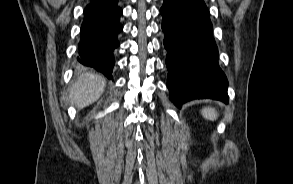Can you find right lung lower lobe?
<instances>
[{"label":"right lung lower lobe","instance_id":"obj_1","mask_svg":"<svg viewBox=\"0 0 293 184\" xmlns=\"http://www.w3.org/2000/svg\"><path fill=\"white\" fill-rule=\"evenodd\" d=\"M118 0L91 2L84 10L81 25L78 60L111 79L114 65L113 50L119 46L118 34L123 26L120 24L122 9Z\"/></svg>","mask_w":293,"mask_h":184}]
</instances>
